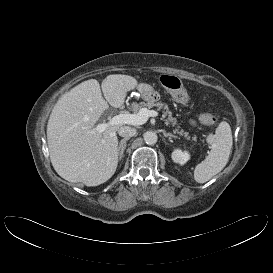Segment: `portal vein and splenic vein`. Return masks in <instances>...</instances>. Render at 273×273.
Wrapping results in <instances>:
<instances>
[{"label": "portal vein and splenic vein", "instance_id": "1", "mask_svg": "<svg viewBox=\"0 0 273 273\" xmlns=\"http://www.w3.org/2000/svg\"><path fill=\"white\" fill-rule=\"evenodd\" d=\"M158 116V112L154 110H148L147 108H142L137 114H119L112 117L109 121L98 124L95 128L91 130V133H101L104 132L109 126L118 124H131V125H142L146 123L149 117Z\"/></svg>", "mask_w": 273, "mask_h": 273}]
</instances>
